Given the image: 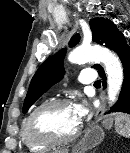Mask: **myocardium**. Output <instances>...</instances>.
I'll use <instances>...</instances> for the list:
<instances>
[{"mask_svg": "<svg viewBox=\"0 0 130 153\" xmlns=\"http://www.w3.org/2000/svg\"><path fill=\"white\" fill-rule=\"evenodd\" d=\"M66 105H72V102L66 98H58L46 101L35 108L27 117L24 124V130L29 140L37 144L46 145H65L74 141L81 131L80 123L78 124L76 129L66 137H58L48 132H38L35 129V121L39 115L50 109Z\"/></svg>", "mask_w": 130, "mask_h": 153, "instance_id": "obj_1", "label": "myocardium"}]
</instances>
